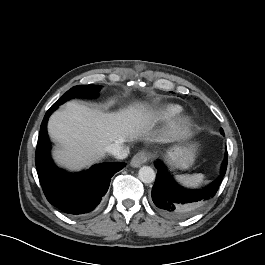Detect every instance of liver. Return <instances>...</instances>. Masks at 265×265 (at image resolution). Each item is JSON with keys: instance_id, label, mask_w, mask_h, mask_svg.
I'll return each instance as SVG.
<instances>
[{"instance_id": "1", "label": "liver", "mask_w": 265, "mask_h": 265, "mask_svg": "<svg viewBox=\"0 0 265 265\" xmlns=\"http://www.w3.org/2000/svg\"><path fill=\"white\" fill-rule=\"evenodd\" d=\"M151 126V116L143 104L104 113L68 102L51 115L48 133L60 146L52 153L54 160L70 170H81L99 161L108 145L138 139Z\"/></svg>"}]
</instances>
